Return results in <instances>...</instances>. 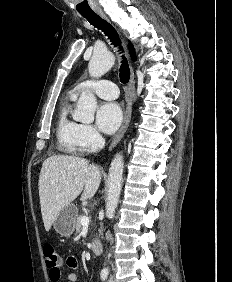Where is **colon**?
<instances>
[{"label":"colon","instance_id":"5ec220e1","mask_svg":"<svg viewBox=\"0 0 232 282\" xmlns=\"http://www.w3.org/2000/svg\"><path fill=\"white\" fill-rule=\"evenodd\" d=\"M43 251L49 271L58 274L61 261L56 249L51 244H46Z\"/></svg>","mask_w":232,"mask_h":282}]
</instances>
